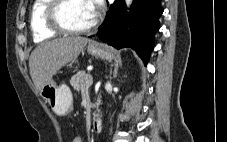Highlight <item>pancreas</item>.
I'll return each mask as SVG.
<instances>
[{"instance_id":"1","label":"pancreas","mask_w":227,"mask_h":142,"mask_svg":"<svg viewBox=\"0 0 227 142\" xmlns=\"http://www.w3.org/2000/svg\"><path fill=\"white\" fill-rule=\"evenodd\" d=\"M89 74L85 73L84 71H79L77 74L72 76L70 80V85L77 90L78 92H83L88 86H87V77ZM100 104V99H98L97 103L95 106H99Z\"/></svg>"}]
</instances>
